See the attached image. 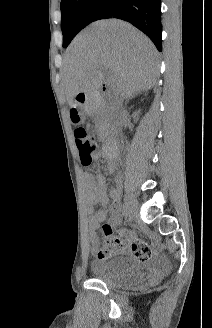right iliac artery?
I'll use <instances>...</instances> for the list:
<instances>
[{
	"label": "right iliac artery",
	"mask_w": 212,
	"mask_h": 328,
	"mask_svg": "<svg viewBox=\"0 0 212 328\" xmlns=\"http://www.w3.org/2000/svg\"><path fill=\"white\" fill-rule=\"evenodd\" d=\"M122 212H123L124 215H127L128 211H127V208H126L125 204L122 205Z\"/></svg>",
	"instance_id": "obj_1"
}]
</instances>
